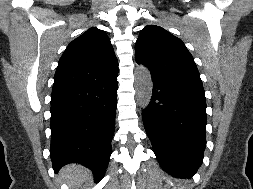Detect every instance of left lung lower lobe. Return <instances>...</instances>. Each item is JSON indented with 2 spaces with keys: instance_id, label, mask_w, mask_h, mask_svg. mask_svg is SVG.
<instances>
[{
  "instance_id": "left-lung-lower-lobe-1",
  "label": "left lung lower lobe",
  "mask_w": 253,
  "mask_h": 189,
  "mask_svg": "<svg viewBox=\"0 0 253 189\" xmlns=\"http://www.w3.org/2000/svg\"><path fill=\"white\" fill-rule=\"evenodd\" d=\"M142 117L161 167L174 177L191 178L206 147L204 93L153 79L151 101Z\"/></svg>"
}]
</instances>
